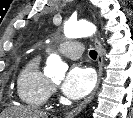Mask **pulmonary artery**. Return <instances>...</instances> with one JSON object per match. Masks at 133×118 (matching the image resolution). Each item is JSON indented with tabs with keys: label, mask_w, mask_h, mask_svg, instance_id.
<instances>
[{
	"label": "pulmonary artery",
	"mask_w": 133,
	"mask_h": 118,
	"mask_svg": "<svg viewBox=\"0 0 133 118\" xmlns=\"http://www.w3.org/2000/svg\"><path fill=\"white\" fill-rule=\"evenodd\" d=\"M84 50L83 43L77 40H68L58 46V51L69 59L78 60Z\"/></svg>",
	"instance_id": "1"
}]
</instances>
